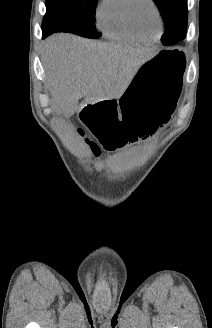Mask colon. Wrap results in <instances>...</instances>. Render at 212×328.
I'll return each instance as SVG.
<instances>
[{"label":"colon","mask_w":212,"mask_h":328,"mask_svg":"<svg viewBox=\"0 0 212 328\" xmlns=\"http://www.w3.org/2000/svg\"><path fill=\"white\" fill-rule=\"evenodd\" d=\"M88 129H90V128H88ZM79 131V133H83V131L81 130V129H79L78 130ZM95 136V135H94ZM86 142H87V144L89 145V147H90V149L93 151V153L95 154V155H97L98 153H99V151H100V147H99V145L95 142V141H93V140H90V139H86Z\"/></svg>","instance_id":"colon-1"}]
</instances>
